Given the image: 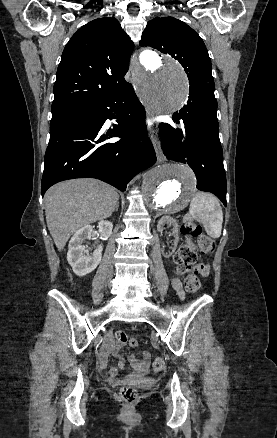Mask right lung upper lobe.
I'll return each instance as SVG.
<instances>
[{
  "label": "right lung upper lobe",
  "mask_w": 277,
  "mask_h": 438,
  "mask_svg": "<svg viewBox=\"0 0 277 438\" xmlns=\"http://www.w3.org/2000/svg\"><path fill=\"white\" fill-rule=\"evenodd\" d=\"M134 43L114 17H103L81 27L62 53L54 84L51 111L84 107L119 89L129 68ZM79 66L72 68L71 65Z\"/></svg>",
  "instance_id": "obj_1"
}]
</instances>
